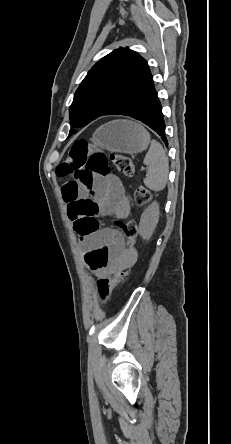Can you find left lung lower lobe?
Wrapping results in <instances>:
<instances>
[{"label":"left lung lower lobe","instance_id":"obj_1","mask_svg":"<svg viewBox=\"0 0 231 444\" xmlns=\"http://www.w3.org/2000/svg\"><path fill=\"white\" fill-rule=\"evenodd\" d=\"M117 115H126L140 120L157 132L165 145H168L164 130L165 122L162 106L154 88L152 74L141 84L134 95L126 100Z\"/></svg>","mask_w":231,"mask_h":444}]
</instances>
